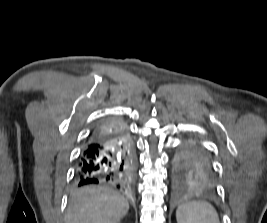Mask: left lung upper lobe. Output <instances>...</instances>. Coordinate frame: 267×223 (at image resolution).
Instances as JSON below:
<instances>
[{"mask_svg":"<svg viewBox=\"0 0 267 223\" xmlns=\"http://www.w3.org/2000/svg\"><path fill=\"white\" fill-rule=\"evenodd\" d=\"M208 157L200 150L185 145L178 156L176 171H211Z\"/></svg>","mask_w":267,"mask_h":223,"instance_id":"5c2ea615","label":"left lung upper lobe"}]
</instances>
